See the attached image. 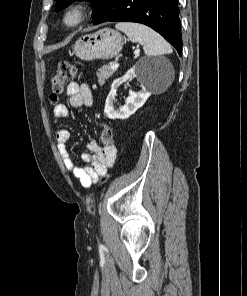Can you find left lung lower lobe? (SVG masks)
<instances>
[{
	"label": "left lung lower lobe",
	"instance_id": "0a47b994",
	"mask_svg": "<svg viewBox=\"0 0 247 296\" xmlns=\"http://www.w3.org/2000/svg\"><path fill=\"white\" fill-rule=\"evenodd\" d=\"M107 21L145 24L160 33L182 55L178 0H111L94 18V24Z\"/></svg>",
	"mask_w": 247,
	"mask_h": 296
}]
</instances>
